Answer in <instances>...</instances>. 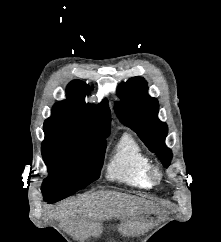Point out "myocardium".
<instances>
[{
  "instance_id": "1",
  "label": "myocardium",
  "mask_w": 221,
  "mask_h": 242,
  "mask_svg": "<svg viewBox=\"0 0 221 242\" xmlns=\"http://www.w3.org/2000/svg\"><path fill=\"white\" fill-rule=\"evenodd\" d=\"M147 175L152 185H158L162 181V171L159 166L150 164L147 169Z\"/></svg>"
}]
</instances>
